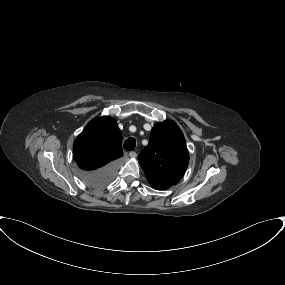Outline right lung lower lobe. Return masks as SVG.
I'll use <instances>...</instances> for the list:
<instances>
[{
  "label": "right lung lower lobe",
  "instance_id": "98d812e1",
  "mask_svg": "<svg viewBox=\"0 0 285 285\" xmlns=\"http://www.w3.org/2000/svg\"><path fill=\"white\" fill-rule=\"evenodd\" d=\"M116 167L117 161H113L96 171L83 172L81 178L92 188H103L112 181Z\"/></svg>",
  "mask_w": 285,
  "mask_h": 285
}]
</instances>
